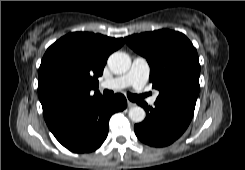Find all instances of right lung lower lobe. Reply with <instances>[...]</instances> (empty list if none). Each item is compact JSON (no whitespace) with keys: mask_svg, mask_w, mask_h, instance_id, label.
I'll use <instances>...</instances> for the list:
<instances>
[{"mask_svg":"<svg viewBox=\"0 0 245 170\" xmlns=\"http://www.w3.org/2000/svg\"><path fill=\"white\" fill-rule=\"evenodd\" d=\"M126 107L127 101L122 94H115L112 98L99 97L51 132L70 151L91 152L106 139L111 115Z\"/></svg>","mask_w":245,"mask_h":170,"instance_id":"1","label":"right lung lower lobe"}]
</instances>
